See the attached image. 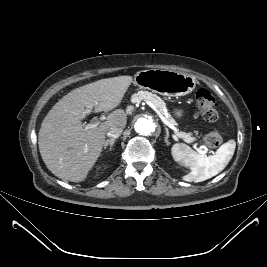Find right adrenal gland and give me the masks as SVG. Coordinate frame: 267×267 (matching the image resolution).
<instances>
[{"instance_id":"right-adrenal-gland-1","label":"right adrenal gland","mask_w":267,"mask_h":267,"mask_svg":"<svg viewBox=\"0 0 267 267\" xmlns=\"http://www.w3.org/2000/svg\"><path fill=\"white\" fill-rule=\"evenodd\" d=\"M116 141V138H111V139H108L105 141L104 143V149L106 150L107 149V146L109 145L110 146V151H112V148H113V145Z\"/></svg>"}]
</instances>
